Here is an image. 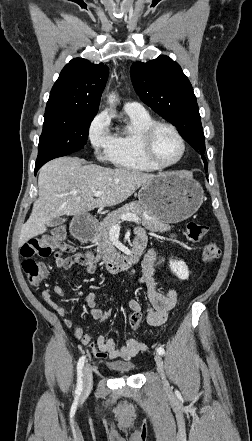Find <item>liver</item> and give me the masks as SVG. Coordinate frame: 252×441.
Segmentation results:
<instances>
[{"label":"liver","mask_w":252,"mask_h":441,"mask_svg":"<svg viewBox=\"0 0 252 441\" xmlns=\"http://www.w3.org/2000/svg\"><path fill=\"white\" fill-rule=\"evenodd\" d=\"M155 175L85 164L77 157L49 161L39 171L38 199L22 226L18 246L46 232L55 217L77 216L95 208L115 206L129 198ZM102 191L94 198V192Z\"/></svg>","instance_id":"1"}]
</instances>
